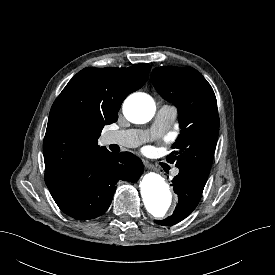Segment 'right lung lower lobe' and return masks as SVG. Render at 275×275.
<instances>
[{
    "label": "right lung lower lobe",
    "instance_id": "1",
    "mask_svg": "<svg viewBox=\"0 0 275 275\" xmlns=\"http://www.w3.org/2000/svg\"><path fill=\"white\" fill-rule=\"evenodd\" d=\"M142 172L143 163L134 154L104 150L75 166L50 192L65 214L93 219L107 211L119 180L135 182Z\"/></svg>",
    "mask_w": 275,
    "mask_h": 275
}]
</instances>
